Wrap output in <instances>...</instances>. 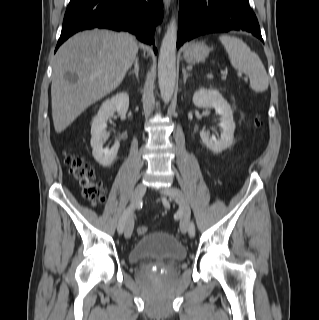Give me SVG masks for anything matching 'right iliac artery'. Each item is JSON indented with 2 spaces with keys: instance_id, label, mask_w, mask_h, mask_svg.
Wrapping results in <instances>:
<instances>
[{
  "instance_id": "obj_1",
  "label": "right iliac artery",
  "mask_w": 319,
  "mask_h": 320,
  "mask_svg": "<svg viewBox=\"0 0 319 320\" xmlns=\"http://www.w3.org/2000/svg\"><path fill=\"white\" fill-rule=\"evenodd\" d=\"M141 202H138V203H132L129 207H127L124 212L122 213L120 219H119V222H118V227H117V230L118 232L121 234L124 230V227H125V223H126V220L127 218L129 217V215L131 214V212L135 209V207L137 205H140Z\"/></svg>"
}]
</instances>
